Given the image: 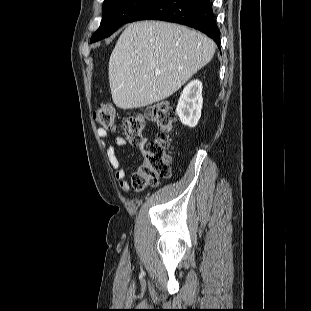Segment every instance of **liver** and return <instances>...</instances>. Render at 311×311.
Listing matches in <instances>:
<instances>
[{
  "instance_id": "6515ba94",
  "label": "liver",
  "mask_w": 311,
  "mask_h": 311,
  "mask_svg": "<svg viewBox=\"0 0 311 311\" xmlns=\"http://www.w3.org/2000/svg\"><path fill=\"white\" fill-rule=\"evenodd\" d=\"M215 43L185 26L162 21L129 24L109 59V84L121 109L151 105L170 97L209 63Z\"/></svg>"
}]
</instances>
